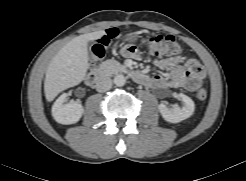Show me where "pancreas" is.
Wrapping results in <instances>:
<instances>
[{"mask_svg": "<svg viewBox=\"0 0 246 181\" xmlns=\"http://www.w3.org/2000/svg\"><path fill=\"white\" fill-rule=\"evenodd\" d=\"M103 73L111 75L125 70V67L114 59L106 60L100 65Z\"/></svg>", "mask_w": 246, "mask_h": 181, "instance_id": "pancreas-1", "label": "pancreas"}]
</instances>
